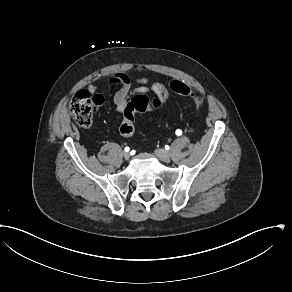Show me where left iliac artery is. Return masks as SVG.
<instances>
[{"label": "left iliac artery", "instance_id": "1", "mask_svg": "<svg viewBox=\"0 0 292 292\" xmlns=\"http://www.w3.org/2000/svg\"><path fill=\"white\" fill-rule=\"evenodd\" d=\"M181 134H182V131H181L180 129H177V130H176V135H177V136H180Z\"/></svg>", "mask_w": 292, "mask_h": 292}]
</instances>
